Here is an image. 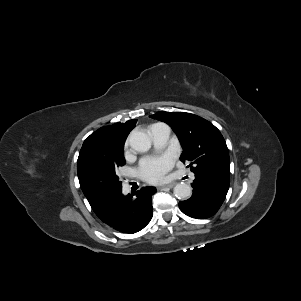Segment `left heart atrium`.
Segmentation results:
<instances>
[{"mask_svg": "<svg viewBox=\"0 0 301 301\" xmlns=\"http://www.w3.org/2000/svg\"><path fill=\"white\" fill-rule=\"evenodd\" d=\"M174 159L166 154L158 157L143 158L137 168L140 178L148 183H159L164 180L167 172L173 167Z\"/></svg>", "mask_w": 301, "mask_h": 301, "instance_id": "39dd6f15", "label": "left heart atrium"}]
</instances>
